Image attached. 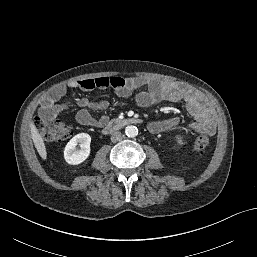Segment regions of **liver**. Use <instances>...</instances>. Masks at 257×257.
I'll return each instance as SVG.
<instances>
[{
    "label": "liver",
    "instance_id": "liver-1",
    "mask_svg": "<svg viewBox=\"0 0 257 257\" xmlns=\"http://www.w3.org/2000/svg\"><path fill=\"white\" fill-rule=\"evenodd\" d=\"M30 130H31V138L34 142L37 152L39 153L42 159H46L47 157L46 147L34 123L30 124Z\"/></svg>",
    "mask_w": 257,
    "mask_h": 257
}]
</instances>
